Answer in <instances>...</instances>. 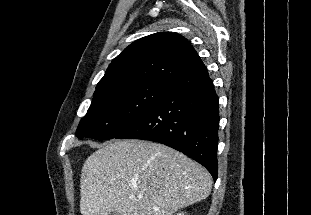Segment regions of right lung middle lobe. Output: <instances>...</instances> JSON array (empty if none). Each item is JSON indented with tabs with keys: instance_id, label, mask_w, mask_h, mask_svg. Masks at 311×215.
Here are the masks:
<instances>
[{
	"instance_id": "right-lung-middle-lobe-1",
	"label": "right lung middle lobe",
	"mask_w": 311,
	"mask_h": 215,
	"mask_svg": "<svg viewBox=\"0 0 311 215\" xmlns=\"http://www.w3.org/2000/svg\"><path fill=\"white\" fill-rule=\"evenodd\" d=\"M169 84H125L94 93L76 135L98 140L113 139L144 117L162 98Z\"/></svg>"
}]
</instances>
